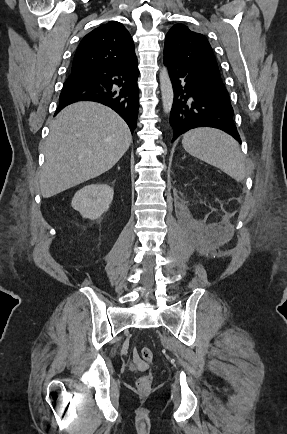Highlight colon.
Instances as JSON below:
<instances>
[{
    "instance_id": "1",
    "label": "colon",
    "mask_w": 287,
    "mask_h": 434,
    "mask_svg": "<svg viewBox=\"0 0 287 434\" xmlns=\"http://www.w3.org/2000/svg\"><path fill=\"white\" fill-rule=\"evenodd\" d=\"M136 358L137 360L144 361L148 364H152L153 353L149 348L144 347L139 351V354L137 355ZM152 380H153V376L150 373L141 376L136 383L138 390L142 393L148 392L151 388Z\"/></svg>"
}]
</instances>
